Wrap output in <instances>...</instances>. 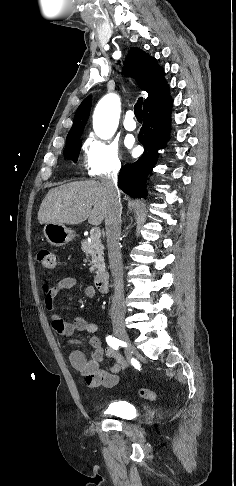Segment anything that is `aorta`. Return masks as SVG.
<instances>
[{
  "label": "aorta",
  "instance_id": "762f6f07",
  "mask_svg": "<svg viewBox=\"0 0 236 486\" xmlns=\"http://www.w3.org/2000/svg\"><path fill=\"white\" fill-rule=\"evenodd\" d=\"M120 116L119 98L109 94L102 98L95 108L93 115V129L97 136L109 139L114 134Z\"/></svg>",
  "mask_w": 236,
  "mask_h": 486
}]
</instances>
